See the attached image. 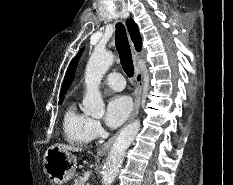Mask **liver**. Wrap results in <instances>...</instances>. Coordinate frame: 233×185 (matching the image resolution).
<instances>
[{
  "mask_svg": "<svg viewBox=\"0 0 233 185\" xmlns=\"http://www.w3.org/2000/svg\"><path fill=\"white\" fill-rule=\"evenodd\" d=\"M55 147H58L61 150H67V151H73V152H79L82 151V148H78V147H74V146H69V145H65V144H55Z\"/></svg>",
  "mask_w": 233,
  "mask_h": 185,
  "instance_id": "1",
  "label": "liver"
}]
</instances>
